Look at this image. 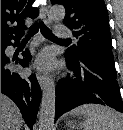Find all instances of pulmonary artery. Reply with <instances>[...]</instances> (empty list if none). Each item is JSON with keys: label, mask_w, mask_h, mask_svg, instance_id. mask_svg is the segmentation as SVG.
Returning a JSON list of instances; mask_svg holds the SVG:
<instances>
[{"label": "pulmonary artery", "mask_w": 123, "mask_h": 130, "mask_svg": "<svg viewBox=\"0 0 123 130\" xmlns=\"http://www.w3.org/2000/svg\"><path fill=\"white\" fill-rule=\"evenodd\" d=\"M56 36L60 39H66L72 37V33L69 28L64 25H58L56 27Z\"/></svg>", "instance_id": "1"}]
</instances>
